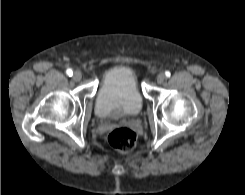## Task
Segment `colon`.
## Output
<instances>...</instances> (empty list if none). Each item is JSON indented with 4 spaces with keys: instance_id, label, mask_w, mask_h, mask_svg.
Listing matches in <instances>:
<instances>
[{
    "instance_id": "5ec220e1",
    "label": "colon",
    "mask_w": 245,
    "mask_h": 195,
    "mask_svg": "<svg viewBox=\"0 0 245 195\" xmlns=\"http://www.w3.org/2000/svg\"><path fill=\"white\" fill-rule=\"evenodd\" d=\"M107 140L118 152L127 153L135 147L136 134L129 128L120 127L109 132Z\"/></svg>"
}]
</instances>
